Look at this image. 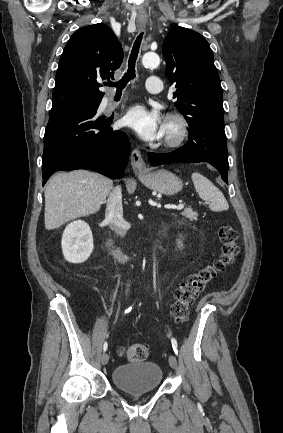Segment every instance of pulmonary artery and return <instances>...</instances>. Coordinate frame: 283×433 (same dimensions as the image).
Here are the masks:
<instances>
[{"mask_svg": "<svg viewBox=\"0 0 283 433\" xmlns=\"http://www.w3.org/2000/svg\"><path fill=\"white\" fill-rule=\"evenodd\" d=\"M145 89L147 92H160L163 85L162 78H157L154 72L148 75V78L144 81Z\"/></svg>", "mask_w": 283, "mask_h": 433, "instance_id": "e3ab8cb5", "label": "pulmonary artery"}]
</instances>
